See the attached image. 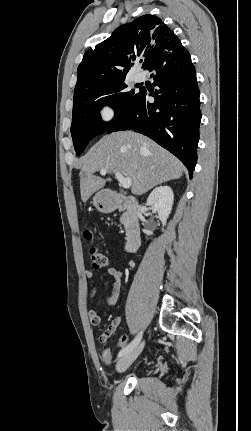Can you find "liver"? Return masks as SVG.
<instances>
[{"label": "liver", "instance_id": "obj_1", "mask_svg": "<svg viewBox=\"0 0 251 431\" xmlns=\"http://www.w3.org/2000/svg\"><path fill=\"white\" fill-rule=\"evenodd\" d=\"M101 169L131 178V192L142 195L157 185L180 178L184 166L167 150L139 133L121 131L106 135L83 158L80 173L83 202L111 181L94 175Z\"/></svg>", "mask_w": 251, "mask_h": 431}]
</instances>
